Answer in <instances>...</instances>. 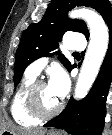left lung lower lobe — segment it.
I'll return each instance as SVG.
<instances>
[{
  "mask_svg": "<svg viewBox=\"0 0 112 135\" xmlns=\"http://www.w3.org/2000/svg\"><path fill=\"white\" fill-rule=\"evenodd\" d=\"M107 26L109 28L108 50L90 92L78 102L71 98L66 108L44 126L64 129L73 135H101L106 115V96L112 81V17L107 22Z\"/></svg>",
  "mask_w": 112,
  "mask_h": 135,
  "instance_id": "1",
  "label": "left lung lower lobe"
}]
</instances>
